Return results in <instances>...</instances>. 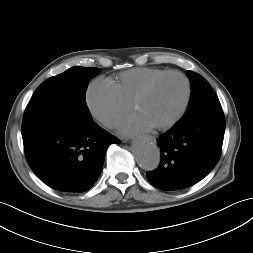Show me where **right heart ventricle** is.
Instances as JSON below:
<instances>
[{
  "label": "right heart ventricle",
  "instance_id": "right-heart-ventricle-1",
  "mask_svg": "<svg viewBox=\"0 0 253 253\" xmlns=\"http://www.w3.org/2000/svg\"><path fill=\"white\" fill-rule=\"evenodd\" d=\"M165 69L151 67H137L122 72L116 79L110 81L116 88L121 98L130 104L136 93L142 89L150 80L166 72Z\"/></svg>",
  "mask_w": 253,
  "mask_h": 253
}]
</instances>
